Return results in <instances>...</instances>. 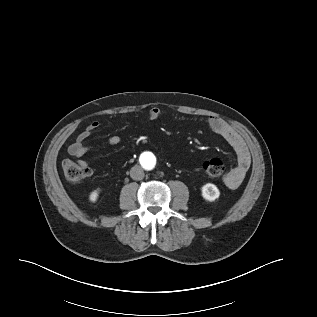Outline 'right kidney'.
Returning <instances> with one entry per match:
<instances>
[{"instance_id":"right-kidney-1","label":"right kidney","mask_w":317,"mask_h":317,"mask_svg":"<svg viewBox=\"0 0 317 317\" xmlns=\"http://www.w3.org/2000/svg\"><path fill=\"white\" fill-rule=\"evenodd\" d=\"M98 198V191L94 190L93 192H91L89 199L91 202H95Z\"/></svg>"}]
</instances>
